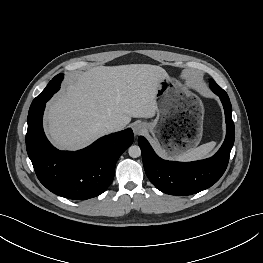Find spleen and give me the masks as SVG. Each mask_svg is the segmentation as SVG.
<instances>
[{"label": "spleen", "mask_w": 263, "mask_h": 263, "mask_svg": "<svg viewBox=\"0 0 263 263\" xmlns=\"http://www.w3.org/2000/svg\"><path fill=\"white\" fill-rule=\"evenodd\" d=\"M216 145L215 141H211L200 145L197 148L188 150L176 157V160L181 162H190L195 160H200L207 157Z\"/></svg>", "instance_id": "obj_1"}]
</instances>
